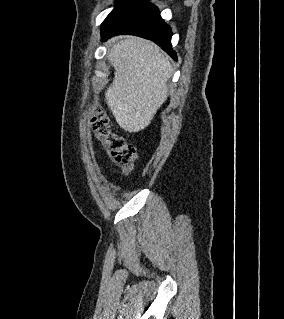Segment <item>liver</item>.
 Segmentation results:
<instances>
[{"label": "liver", "instance_id": "liver-1", "mask_svg": "<svg viewBox=\"0 0 284 319\" xmlns=\"http://www.w3.org/2000/svg\"><path fill=\"white\" fill-rule=\"evenodd\" d=\"M108 59L115 69L108 107L123 130L141 131L167 99L171 64L154 43L135 36L113 43Z\"/></svg>", "mask_w": 284, "mask_h": 319}]
</instances>
